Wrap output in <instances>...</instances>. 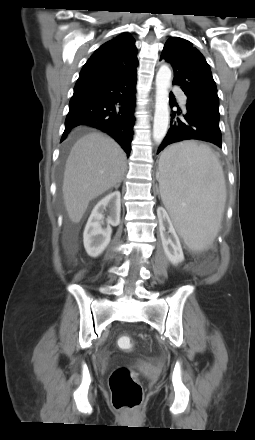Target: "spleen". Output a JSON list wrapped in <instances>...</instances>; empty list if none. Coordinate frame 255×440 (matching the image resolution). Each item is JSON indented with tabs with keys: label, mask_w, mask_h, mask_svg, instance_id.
<instances>
[{
	"label": "spleen",
	"mask_w": 255,
	"mask_h": 440,
	"mask_svg": "<svg viewBox=\"0 0 255 440\" xmlns=\"http://www.w3.org/2000/svg\"><path fill=\"white\" fill-rule=\"evenodd\" d=\"M160 169V193L178 233L194 251L217 236L226 202L222 166L207 145L184 142L169 147Z\"/></svg>",
	"instance_id": "3e777b00"
}]
</instances>
